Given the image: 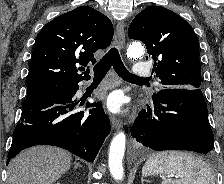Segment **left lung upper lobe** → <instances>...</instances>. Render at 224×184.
I'll return each instance as SVG.
<instances>
[{
    "label": "left lung upper lobe",
    "mask_w": 224,
    "mask_h": 184,
    "mask_svg": "<svg viewBox=\"0 0 224 184\" xmlns=\"http://www.w3.org/2000/svg\"><path fill=\"white\" fill-rule=\"evenodd\" d=\"M128 36L145 44L163 89L200 88L198 38L176 13L161 6L147 7L131 22Z\"/></svg>",
    "instance_id": "5c2ea615"
}]
</instances>
